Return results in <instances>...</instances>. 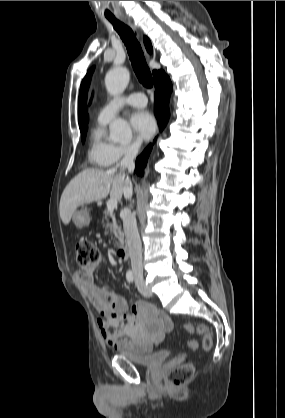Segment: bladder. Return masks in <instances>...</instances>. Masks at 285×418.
Segmentation results:
<instances>
[{
    "label": "bladder",
    "instance_id": "obj_1",
    "mask_svg": "<svg viewBox=\"0 0 285 418\" xmlns=\"http://www.w3.org/2000/svg\"><path fill=\"white\" fill-rule=\"evenodd\" d=\"M120 355L125 356L138 366L153 367L165 363L169 353L164 349H156L147 352H137L130 348L120 349Z\"/></svg>",
    "mask_w": 285,
    "mask_h": 418
}]
</instances>
